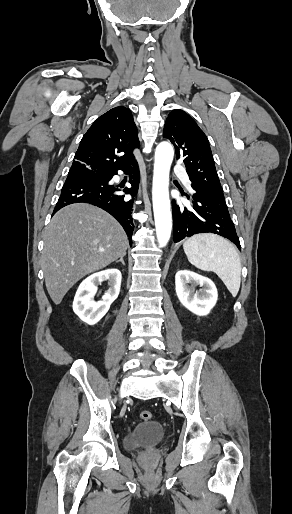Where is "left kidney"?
Wrapping results in <instances>:
<instances>
[{
  "label": "left kidney",
  "instance_id": "left-kidney-1",
  "mask_svg": "<svg viewBox=\"0 0 292 514\" xmlns=\"http://www.w3.org/2000/svg\"><path fill=\"white\" fill-rule=\"evenodd\" d=\"M175 286L181 304L197 316H207L217 302L218 294L215 284L209 278L199 276L195 272H189V270L177 272ZM194 286H200L202 290L195 292Z\"/></svg>",
  "mask_w": 292,
  "mask_h": 514
}]
</instances>
